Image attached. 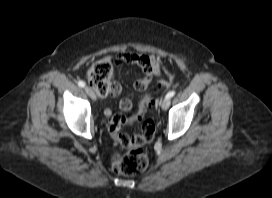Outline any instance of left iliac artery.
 I'll return each mask as SVG.
<instances>
[{"instance_id":"44dca946","label":"left iliac artery","mask_w":272,"mask_h":198,"mask_svg":"<svg viewBox=\"0 0 272 198\" xmlns=\"http://www.w3.org/2000/svg\"><path fill=\"white\" fill-rule=\"evenodd\" d=\"M174 95H175V91L172 90V91H170V92H168V93L166 94L165 98H171V97H173Z\"/></svg>"}]
</instances>
